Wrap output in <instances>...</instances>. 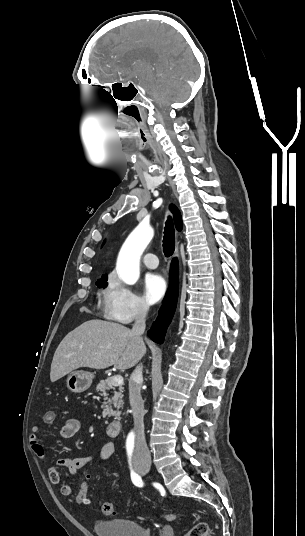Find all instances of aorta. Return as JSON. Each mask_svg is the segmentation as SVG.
Returning a JSON list of instances; mask_svg holds the SVG:
<instances>
[{"label":"aorta","instance_id":"1","mask_svg":"<svg viewBox=\"0 0 305 536\" xmlns=\"http://www.w3.org/2000/svg\"><path fill=\"white\" fill-rule=\"evenodd\" d=\"M154 236L152 227L140 224L124 242L117 259V273L126 284H135L140 276V258Z\"/></svg>","mask_w":305,"mask_h":536}]
</instances>
